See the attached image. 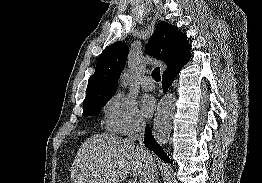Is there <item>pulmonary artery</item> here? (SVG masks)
I'll return each mask as SVG.
<instances>
[{
	"instance_id": "1",
	"label": "pulmonary artery",
	"mask_w": 262,
	"mask_h": 183,
	"mask_svg": "<svg viewBox=\"0 0 262 183\" xmlns=\"http://www.w3.org/2000/svg\"><path fill=\"white\" fill-rule=\"evenodd\" d=\"M141 86L146 91H152L155 88V84L150 76H145L142 79Z\"/></svg>"
}]
</instances>
